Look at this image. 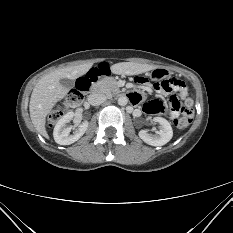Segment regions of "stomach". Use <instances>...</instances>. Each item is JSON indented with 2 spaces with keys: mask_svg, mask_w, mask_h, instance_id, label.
Instances as JSON below:
<instances>
[{
  "mask_svg": "<svg viewBox=\"0 0 233 233\" xmlns=\"http://www.w3.org/2000/svg\"><path fill=\"white\" fill-rule=\"evenodd\" d=\"M153 76H163L167 74V71L163 69H156L152 72Z\"/></svg>",
  "mask_w": 233,
  "mask_h": 233,
  "instance_id": "1",
  "label": "stomach"
}]
</instances>
